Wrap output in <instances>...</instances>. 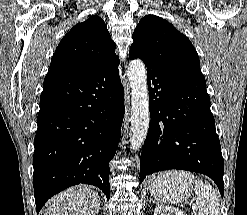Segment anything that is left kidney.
Wrapping results in <instances>:
<instances>
[{
    "label": "left kidney",
    "mask_w": 247,
    "mask_h": 215,
    "mask_svg": "<svg viewBox=\"0 0 247 215\" xmlns=\"http://www.w3.org/2000/svg\"><path fill=\"white\" fill-rule=\"evenodd\" d=\"M154 215H186L182 210L172 206L160 205L155 208Z\"/></svg>",
    "instance_id": "1"
}]
</instances>
